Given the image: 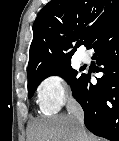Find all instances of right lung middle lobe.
Segmentation results:
<instances>
[{
  "label": "right lung middle lobe",
  "mask_w": 119,
  "mask_h": 141,
  "mask_svg": "<svg viewBox=\"0 0 119 141\" xmlns=\"http://www.w3.org/2000/svg\"><path fill=\"white\" fill-rule=\"evenodd\" d=\"M53 75H58L64 78L71 85L72 91L81 78L78 77V72L71 67V62L57 68L35 72L28 75V97H32L37 86L45 78Z\"/></svg>",
  "instance_id": "dd1d6c3e"
}]
</instances>
